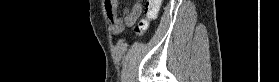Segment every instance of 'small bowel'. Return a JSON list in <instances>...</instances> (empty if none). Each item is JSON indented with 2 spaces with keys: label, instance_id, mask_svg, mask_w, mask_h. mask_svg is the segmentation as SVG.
Listing matches in <instances>:
<instances>
[{
  "label": "small bowel",
  "instance_id": "c3829d8e",
  "mask_svg": "<svg viewBox=\"0 0 279 82\" xmlns=\"http://www.w3.org/2000/svg\"><path fill=\"white\" fill-rule=\"evenodd\" d=\"M106 12L112 29L117 33H121L125 27L135 24L141 13V5L139 2H136L130 9L123 10L120 15L118 12V2L106 1Z\"/></svg>",
  "mask_w": 279,
  "mask_h": 82
}]
</instances>
